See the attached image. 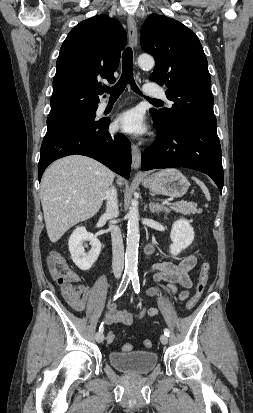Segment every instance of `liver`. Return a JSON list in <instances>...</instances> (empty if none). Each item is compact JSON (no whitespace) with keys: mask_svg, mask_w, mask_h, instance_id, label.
I'll return each mask as SVG.
<instances>
[{"mask_svg":"<svg viewBox=\"0 0 253 413\" xmlns=\"http://www.w3.org/2000/svg\"><path fill=\"white\" fill-rule=\"evenodd\" d=\"M114 177L109 168L82 155L61 158L45 170L40 197L52 243L99 211ZM118 182L122 184V179Z\"/></svg>","mask_w":253,"mask_h":413,"instance_id":"obj_1","label":"liver"}]
</instances>
